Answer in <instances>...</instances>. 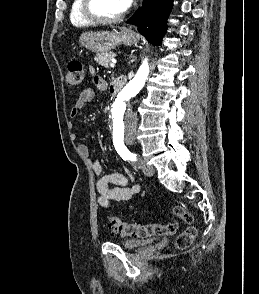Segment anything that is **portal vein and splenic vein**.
Listing matches in <instances>:
<instances>
[{"label": "portal vein and splenic vein", "instance_id": "portal-vein-and-splenic-vein-1", "mask_svg": "<svg viewBox=\"0 0 259 294\" xmlns=\"http://www.w3.org/2000/svg\"><path fill=\"white\" fill-rule=\"evenodd\" d=\"M115 63H116V61L115 60H112V62L110 63V67L111 68H114L115 67Z\"/></svg>", "mask_w": 259, "mask_h": 294}]
</instances>
